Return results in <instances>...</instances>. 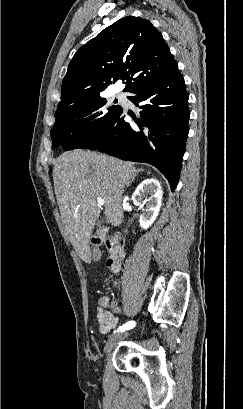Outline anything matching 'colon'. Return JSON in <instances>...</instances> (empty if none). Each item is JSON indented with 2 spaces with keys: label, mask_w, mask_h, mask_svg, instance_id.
I'll return each mask as SVG.
<instances>
[{
  "label": "colon",
  "mask_w": 243,
  "mask_h": 409,
  "mask_svg": "<svg viewBox=\"0 0 243 409\" xmlns=\"http://www.w3.org/2000/svg\"><path fill=\"white\" fill-rule=\"evenodd\" d=\"M93 241L96 244H103L108 253L106 266L112 272H118L121 268V263L124 257V241L119 235L104 236L98 234L94 237ZM100 314H96L97 320H99Z\"/></svg>",
  "instance_id": "colon-1"
}]
</instances>
